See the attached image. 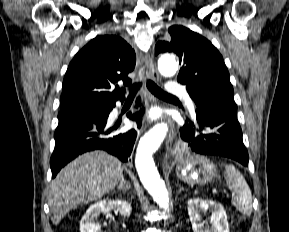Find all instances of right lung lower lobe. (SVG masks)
Returning <instances> with one entry per match:
<instances>
[{
	"label": "right lung lower lobe",
	"instance_id": "obj_1",
	"mask_svg": "<svg viewBox=\"0 0 289 232\" xmlns=\"http://www.w3.org/2000/svg\"><path fill=\"white\" fill-rule=\"evenodd\" d=\"M114 106L103 108L95 115L60 120L55 130V149L50 159L52 178L68 162L87 151L101 149L126 162L136 140V131L116 133L115 127L107 125V118ZM141 113L127 115L141 126Z\"/></svg>",
	"mask_w": 289,
	"mask_h": 232
}]
</instances>
